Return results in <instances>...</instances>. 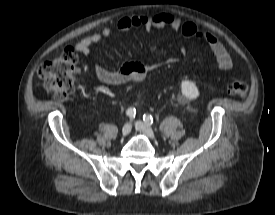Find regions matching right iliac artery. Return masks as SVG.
I'll return each instance as SVG.
<instances>
[{
    "label": "right iliac artery",
    "mask_w": 275,
    "mask_h": 215,
    "mask_svg": "<svg viewBox=\"0 0 275 215\" xmlns=\"http://www.w3.org/2000/svg\"><path fill=\"white\" fill-rule=\"evenodd\" d=\"M135 114H136V109L135 108H129L127 111H126V115L130 118H134L135 117Z\"/></svg>",
    "instance_id": "right-iliac-artery-1"
}]
</instances>
